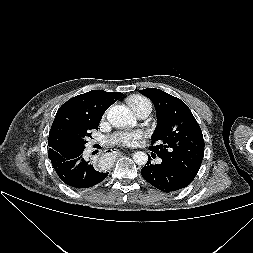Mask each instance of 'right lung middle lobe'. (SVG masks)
Masks as SVG:
<instances>
[{"instance_id": "1", "label": "right lung middle lobe", "mask_w": 253, "mask_h": 253, "mask_svg": "<svg viewBox=\"0 0 253 253\" xmlns=\"http://www.w3.org/2000/svg\"><path fill=\"white\" fill-rule=\"evenodd\" d=\"M85 143H87V141H85V139H82L80 141V143H78V145L76 146V149H85Z\"/></svg>"}]
</instances>
